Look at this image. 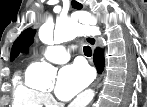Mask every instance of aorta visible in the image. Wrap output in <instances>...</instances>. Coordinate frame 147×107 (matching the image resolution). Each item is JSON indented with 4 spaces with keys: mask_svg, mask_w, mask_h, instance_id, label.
I'll use <instances>...</instances> for the list:
<instances>
[{
    "mask_svg": "<svg viewBox=\"0 0 147 107\" xmlns=\"http://www.w3.org/2000/svg\"><path fill=\"white\" fill-rule=\"evenodd\" d=\"M99 28L87 23V18L71 19L69 21H60L56 23L54 30V42L56 44L69 41L73 38L84 35H97ZM39 37L42 41L47 39L45 29L39 31ZM56 76L55 68L45 62H36L29 66L28 83L38 87H50Z\"/></svg>",
    "mask_w": 147,
    "mask_h": 107,
    "instance_id": "obj_1",
    "label": "aorta"
}]
</instances>
